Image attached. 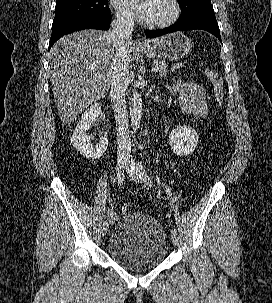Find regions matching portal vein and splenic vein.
<instances>
[{
	"mask_svg": "<svg viewBox=\"0 0 272 303\" xmlns=\"http://www.w3.org/2000/svg\"><path fill=\"white\" fill-rule=\"evenodd\" d=\"M152 71L155 72V73L158 72V71H159V67H158V66H155V67L152 69Z\"/></svg>",
	"mask_w": 272,
	"mask_h": 303,
	"instance_id": "obj_1",
	"label": "portal vein and splenic vein"
}]
</instances>
